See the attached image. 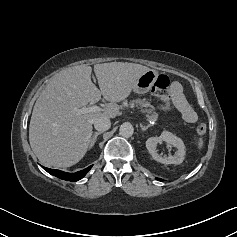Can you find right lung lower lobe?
Segmentation results:
<instances>
[{
	"label": "right lung lower lobe",
	"instance_id": "right-lung-lower-lobe-1",
	"mask_svg": "<svg viewBox=\"0 0 237 237\" xmlns=\"http://www.w3.org/2000/svg\"><path fill=\"white\" fill-rule=\"evenodd\" d=\"M91 167L92 166H89L86 169L75 172V173H67L60 170L50 169V168H46L42 166V168L48 173H50L51 175H54L63 180H68V181H73V182L78 181L81 178H83L87 174V172L91 169Z\"/></svg>",
	"mask_w": 237,
	"mask_h": 237
}]
</instances>
